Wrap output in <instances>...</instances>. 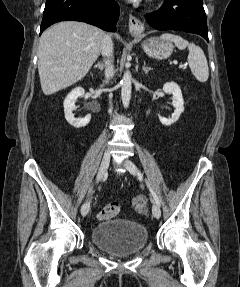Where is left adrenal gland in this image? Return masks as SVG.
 <instances>
[{
  "instance_id": "a2214340",
  "label": "left adrenal gland",
  "mask_w": 240,
  "mask_h": 287,
  "mask_svg": "<svg viewBox=\"0 0 240 287\" xmlns=\"http://www.w3.org/2000/svg\"><path fill=\"white\" fill-rule=\"evenodd\" d=\"M150 70H152V68L151 67H147L146 63L144 62L143 71L145 72V74H147Z\"/></svg>"
}]
</instances>
